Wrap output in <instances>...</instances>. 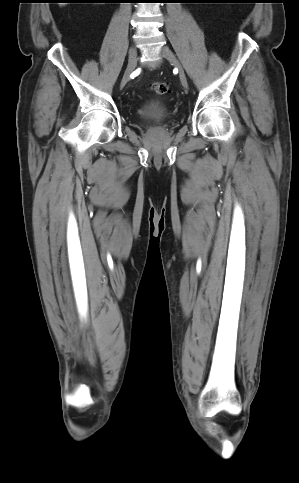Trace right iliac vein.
I'll list each match as a JSON object with an SVG mask.
<instances>
[{"label":"right iliac vein","mask_w":299,"mask_h":483,"mask_svg":"<svg viewBox=\"0 0 299 483\" xmlns=\"http://www.w3.org/2000/svg\"><path fill=\"white\" fill-rule=\"evenodd\" d=\"M136 58H137V51H136V48L132 46L130 47L128 52V64H127L125 73L123 75V78L121 80V87H123L127 83L131 73L136 68V62H137Z\"/></svg>","instance_id":"obj_1"}]
</instances>
